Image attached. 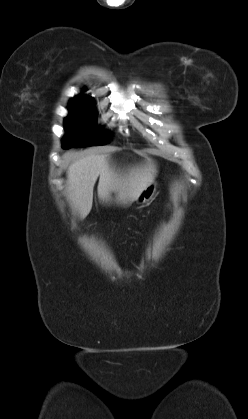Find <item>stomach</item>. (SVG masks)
<instances>
[{"instance_id": "stomach-1", "label": "stomach", "mask_w": 248, "mask_h": 419, "mask_svg": "<svg viewBox=\"0 0 248 419\" xmlns=\"http://www.w3.org/2000/svg\"><path fill=\"white\" fill-rule=\"evenodd\" d=\"M156 192V184L153 182L145 188L137 198V203L144 204L152 200Z\"/></svg>"}]
</instances>
